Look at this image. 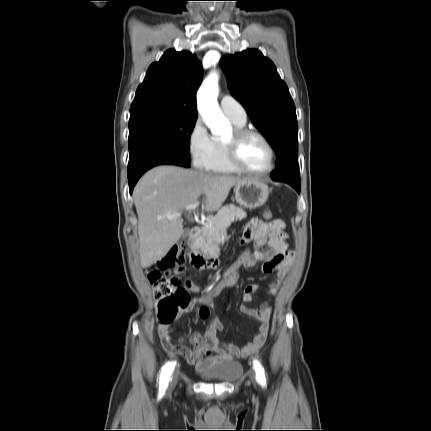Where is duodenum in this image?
<instances>
[{"label": "duodenum", "instance_id": "duodenum-1", "mask_svg": "<svg viewBox=\"0 0 431 431\" xmlns=\"http://www.w3.org/2000/svg\"><path fill=\"white\" fill-rule=\"evenodd\" d=\"M201 235V229L199 227H193L190 231L188 242L192 247V253L190 256L191 264L196 269H209L215 268L218 265V260L215 256H206L199 253L195 249V244Z\"/></svg>", "mask_w": 431, "mask_h": 431}]
</instances>
